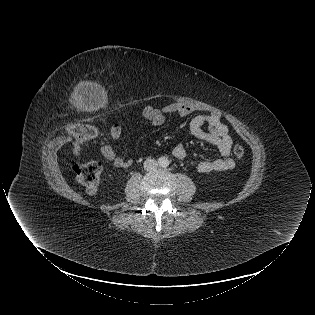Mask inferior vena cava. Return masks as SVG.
I'll return each instance as SVG.
<instances>
[{
    "instance_id": "inferior-vena-cava-1",
    "label": "inferior vena cava",
    "mask_w": 315,
    "mask_h": 315,
    "mask_svg": "<svg viewBox=\"0 0 315 315\" xmlns=\"http://www.w3.org/2000/svg\"><path fill=\"white\" fill-rule=\"evenodd\" d=\"M157 166H158L157 161L154 160V159H147V160L144 162V168H145V170H147V171H152V170L156 169Z\"/></svg>"
}]
</instances>
